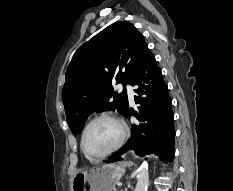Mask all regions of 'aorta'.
Listing matches in <instances>:
<instances>
[{
  "label": "aorta",
  "mask_w": 233,
  "mask_h": 191,
  "mask_svg": "<svg viewBox=\"0 0 233 191\" xmlns=\"http://www.w3.org/2000/svg\"><path fill=\"white\" fill-rule=\"evenodd\" d=\"M149 184V172L147 162H143L138 169L135 191H147Z\"/></svg>",
  "instance_id": "762f6f07"
}]
</instances>
